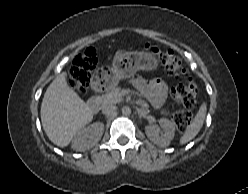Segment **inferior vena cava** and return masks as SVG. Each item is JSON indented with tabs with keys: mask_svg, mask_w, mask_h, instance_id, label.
<instances>
[{
	"mask_svg": "<svg viewBox=\"0 0 248 194\" xmlns=\"http://www.w3.org/2000/svg\"><path fill=\"white\" fill-rule=\"evenodd\" d=\"M117 110V107L115 105L109 104L103 106L102 113L103 114H111Z\"/></svg>",
	"mask_w": 248,
	"mask_h": 194,
	"instance_id": "obj_1",
	"label": "inferior vena cava"
}]
</instances>
